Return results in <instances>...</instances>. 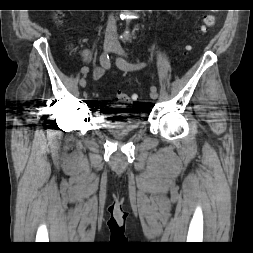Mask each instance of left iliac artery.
<instances>
[{"label":"left iliac artery","instance_id":"1","mask_svg":"<svg viewBox=\"0 0 253 253\" xmlns=\"http://www.w3.org/2000/svg\"><path fill=\"white\" fill-rule=\"evenodd\" d=\"M117 64L121 69H124V70H136V69H141L145 66L144 63H139V64L129 63L122 58L117 60ZM156 89H157L156 86L151 87V90H156Z\"/></svg>","mask_w":253,"mask_h":253}]
</instances>
